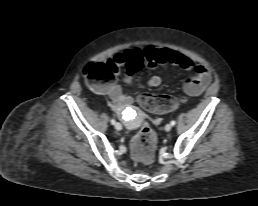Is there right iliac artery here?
I'll return each mask as SVG.
<instances>
[{
  "instance_id": "1",
  "label": "right iliac artery",
  "mask_w": 258,
  "mask_h": 206,
  "mask_svg": "<svg viewBox=\"0 0 258 206\" xmlns=\"http://www.w3.org/2000/svg\"><path fill=\"white\" fill-rule=\"evenodd\" d=\"M115 123H116L115 119L112 118V119H111V124H112V125H115Z\"/></svg>"
}]
</instances>
